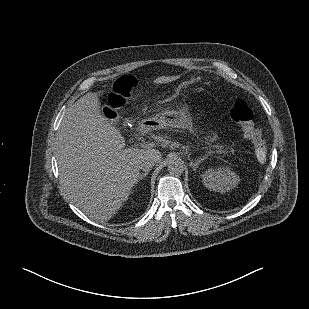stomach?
<instances>
[{
    "instance_id": "stomach-1",
    "label": "stomach",
    "mask_w": 309,
    "mask_h": 309,
    "mask_svg": "<svg viewBox=\"0 0 309 309\" xmlns=\"http://www.w3.org/2000/svg\"><path fill=\"white\" fill-rule=\"evenodd\" d=\"M192 116L189 106L182 105L177 110L166 111L152 118L146 119L156 128L177 127L182 128L186 123L191 122Z\"/></svg>"
}]
</instances>
